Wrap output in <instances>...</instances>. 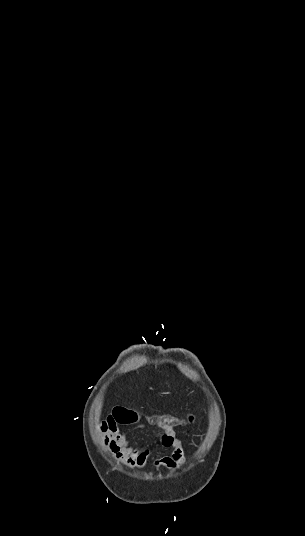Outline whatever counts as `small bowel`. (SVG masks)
Here are the masks:
<instances>
[{
  "instance_id": "small-bowel-1",
  "label": "small bowel",
  "mask_w": 305,
  "mask_h": 536,
  "mask_svg": "<svg viewBox=\"0 0 305 536\" xmlns=\"http://www.w3.org/2000/svg\"><path fill=\"white\" fill-rule=\"evenodd\" d=\"M105 419L101 425L96 427L100 434V440L104 448L111 452L113 456L132 469H142L151 454L149 448H139L131 444L130 434L124 432L120 435L121 430L117 427L116 422L112 419L111 413L105 414ZM144 427H134V430H141ZM160 432L161 445L170 450L169 456L157 458L153 461L155 468H166L176 470L184 465L186 459V448L183 442L177 437L174 427H153Z\"/></svg>"
}]
</instances>
